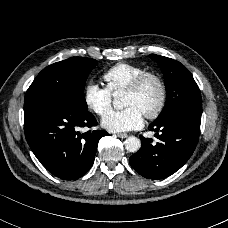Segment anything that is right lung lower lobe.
<instances>
[{"label":"right lung lower lobe","instance_id":"right-lung-lower-lobe-1","mask_svg":"<svg viewBox=\"0 0 228 228\" xmlns=\"http://www.w3.org/2000/svg\"><path fill=\"white\" fill-rule=\"evenodd\" d=\"M26 140L41 164L64 180L82 177L93 165L98 141L108 133L79 127L97 125L95 117L58 99L39 98L24 102Z\"/></svg>","mask_w":228,"mask_h":228}]
</instances>
